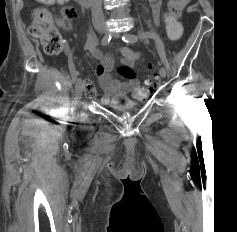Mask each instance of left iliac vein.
<instances>
[{
	"mask_svg": "<svg viewBox=\"0 0 237 232\" xmlns=\"http://www.w3.org/2000/svg\"><path fill=\"white\" fill-rule=\"evenodd\" d=\"M111 33L114 38L120 37V35L117 32H115L114 30H111ZM159 73H160L161 77H163V78L166 77V69L164 67L160 68Z\"/></svg>",
	"mask_w": 237,
	"mask_h": 232,
	"instance_id": "left-iliac-vein-1",
	"label": "left iliac vein"
}]
</instances>
